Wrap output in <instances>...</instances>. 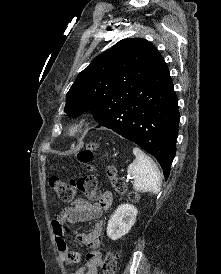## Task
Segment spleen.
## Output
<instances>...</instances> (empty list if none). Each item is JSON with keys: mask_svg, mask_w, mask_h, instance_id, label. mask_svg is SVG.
<instances>
[{"mask_svg": "<svg viewBox=\"0 0 221 274\" xmlns=\"http://www.w3.org/2000/svg\"><path fill=\"white\" fill-rule=\"evenodd\" d=\"M135 160L128 166V174L133 176V189L138 192L157 194L161 190V176L155 162L141 149L133 148Z\"/></svg>", "mask_w": 221, "mask_h": 274, "instance_id": "spleen-1", "label": "spleen"}]
</instances>
